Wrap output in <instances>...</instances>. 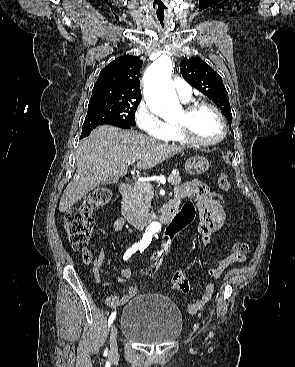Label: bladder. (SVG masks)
Here are the masks:
<instances>
[{"label":"bladder","mask_w":295,"mask_h":367,"mask_svg":"<svg viewBox=\"0 0 295 367\" xmlns=\"http://www.w3.org/2000/svg\"><path fill=\"white\" fill-rule=\"evenodd\" d=\"M183 326L179 308L167 297L142 294L123 308L120 329L126 338L142 344H162L175 340Z\"/></svg>","instance_id":"31cf9c89"}]
</instances>
